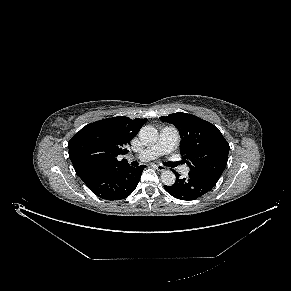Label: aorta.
<instances>
[{
	"instance_id": "aorta-1",
	"label": "aorta",
	"mask_w": 291,
	"mask_h": 291,
	"mask_svg": "<svg viewBox=\"0 0 291 291\" xmlns=\"http://www.w3.org/2000/svg\"><path fill=\"white\" fill-rule=\"evenodd\" d=\"M159 134L153 126H143L139 131V139L145 145L155 144L158 140ZM176 176L172 171H164L161 174V181L164 185L171 186L175 183Z\"/></svg>"
}]
</instances>
